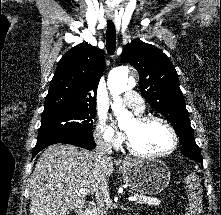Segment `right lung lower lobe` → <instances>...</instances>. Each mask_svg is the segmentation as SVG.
I'll return each mask as SVG.
<instances>
[{"mask_svg": "<svg viewBox=\"0 0 221 215\" xmlns=\"http://www.w3.org/2000/svg\"><path fill=\"white\" fill-rule=\"evenodd\" d=\"M56 143L72 144L85 149H93L95 147V142L91 132L58 135V136L38 139L36 146L33 150L32 157H35V155L45 147Z\"/></svg>", "mask_w": 221, "mask_h": 215, "instance_id": "98d812e1", "label": "right lung lower lobe"}]
</instances>
